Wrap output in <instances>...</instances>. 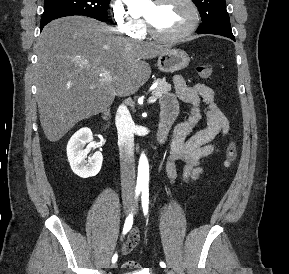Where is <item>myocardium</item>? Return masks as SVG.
Listing matches in <instances>:
<instances>
[{"label": "myocardium", "mask_w": 289, "mask_h": 274, "mask_svg": "<svg viewBox=\"0 0 289 274\" xmlns=\"http://www.w3.org/2000/svg\"><path fill=\"white\" fill-rule=\"evenodd\" d=\"M167 1H169V0H154V2L156 4H161V3H164ZM183 1L190 8L191 21H190L189 25L179 33H176V34L160 33L154 28L152 23L146 17H144L147 32L153 38L161 40V41H169V42L180 41V40H183V39L187 38L188 36H190L196 30L198 23H199V19H200L199 8H198V6L194 0H183Z\"/></svg>", "instance_id": "1"}]
</instances>
